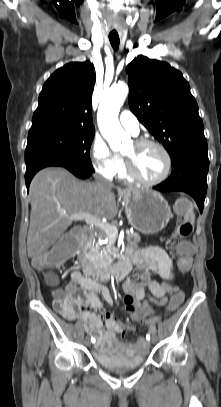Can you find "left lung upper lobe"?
I'll use <instances>...</instances> for the list:
<instances>
[{
	"instance_id": "1",
	"label": "left lung upper lobe",
	"mask_w": 221,
	"mask_h": 407,
	"mask_svg": "<svg viewBox=\"0 0 221 407\" xmlns=\"http://www.w3.org/2000/svg\"><path fill=\"white\" fill-rule=\"evenodd\" d=\"M126 72L130 109L164 145L172 164L192 148L207 147L198 105L181 72L145 56L129 63Z\"/></svg>"
}]
</instances>
